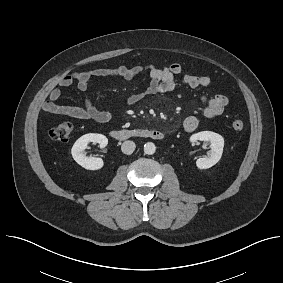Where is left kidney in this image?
<instances>
[{"mask_svg":"<svg viewBox=\"0 0 283 283\" xmlns=\"http://www.w3.org/2000/svg\"><path fill=\"white\" fill-rule=\"evenodd\" d=\"M197 140L207 142L209 141L211 150L208 153V156L197 159L196 166L199 169L211 168L221 159L224 147V138L218 133L212 131H202L193 134L190 137L191 142H196Z\"/></svg>","mask_w":283,"mask_h":283,"instance_id":"obj_1","label":"left kidney"}]
</instances>
